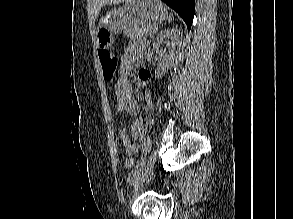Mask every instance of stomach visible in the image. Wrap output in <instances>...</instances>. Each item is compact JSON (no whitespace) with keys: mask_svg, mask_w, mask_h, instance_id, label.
<instances>
[{"mask_svg":"<svg viewBox=\"0 0 293 219\" xmlns=\"http://www.w3.org/2000/svg\"><path fill=\"white\" fill-rule=\"evenodd\" d=\"M168 16L167 9L160 0H131L121 7L104 14L97 25V46L102 49L111 47L115 36L126 28L129 22L146 20L162 21Z\"/></svg>","mask_w":293,"mask_h":219,"instance_id":"stomach-1","label":"stomach"}]
</instances>
